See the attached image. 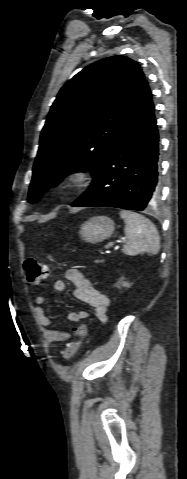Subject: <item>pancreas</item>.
<instances>
[{"instance_id":"obj_1","label":"pancreas","mask_w":187,"mask_h":479,"mask_svg":"<svg viewBox=\"0 0 187 479\" xmlns=\"http://www.w3.org/2000/svg\"><path fill=\"white\" fill-rule=\"evenodd\" d=\"M104 260H96L95 263H102Z\"/></svg>"}]
</instances>
